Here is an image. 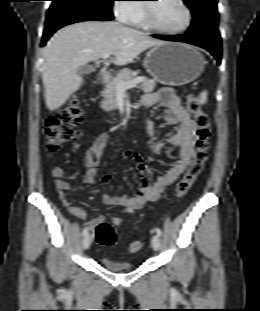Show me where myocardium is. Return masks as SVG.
Instances as JSON below:
<instances>
[{"label": "myocardium", "instance_id": "f54148a6", "mask_svg": "<svg viewBox=\"0 0 260 311\" xmlns=\"http://www.w3.org/2000/svg\"><path fill=\"white\" fill-rule=\"evenodd\" d=\"M177 2L183 7V9L185 10V13H186V21L181 28L169 30V29H165V28L160 27L154 19L151 3H147V4L143 5L144 18H145V22H146L147 26L154 31H157V32L163 33V34H167V35H178V34H182V33L186 32L192 24V19H193L192 11H191L189 5L186 3L185 0H177Z\"/></svg>", "mask_w": 260, "mask_h": 311}]
</instances>
